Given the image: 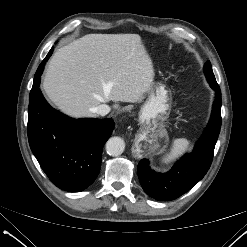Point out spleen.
Instances as JSON below:
<instances>
[{
  "label": "spleen",
  "instance_id": "3e777b00",
  "mask_svg": "<svg viewBox=\"0 0 247 247\" xmlns=\"http://www.w3.org/2000/svg\"><path fill=\"white\" fill-rule=\"evenodd\" d=\"M190 141L184 138L175 139L171 148V152L167 154L166 157L163 158V162L168 163L171 162L176 157L183 154L185 151L189 149Z\"/></svg>",
  "mask_w": 247,
  "mask_h": 247
}]
</instances>
